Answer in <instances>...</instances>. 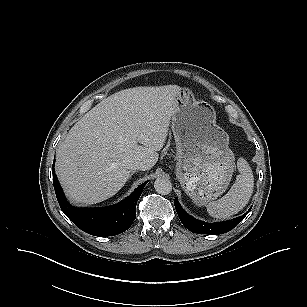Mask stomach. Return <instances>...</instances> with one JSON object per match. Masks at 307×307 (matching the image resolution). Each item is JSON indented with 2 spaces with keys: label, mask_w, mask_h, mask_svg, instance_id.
Here are the masks:
<instances>
[{
  "label": "stomach",
  "mask_w": 307,
  "mask_h": 307,
  "mask_svg": "<svg viewBox=\"0 0 307 307\" xmlns=\"http://www.w3.org/2000/svg\"><path fill=\"white\" fill-rule=\"evenodd\" d=\"M171 128L176 142V176L186 194L205 205L222 195L234 172L228 134L216 124L214 108L186 88L175 97Z\"/></svg>",
  "instance_id": "1"
}]
</instances>
